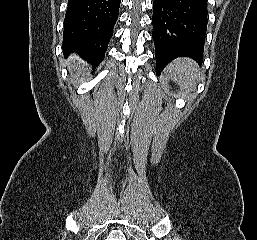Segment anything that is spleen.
I'll return each instance as SVG.
<instances>
[{
  "label": "spleen",
  "instance_id": "obj_1",
  "mask_svg": "<svg viewBox=\"0 0 257 240\" xmlns=\"http://www.w3.org/2000/svg\"><path fill=\"white\" fill-rule=\"evenodd\" d=\"M167 72L182 89L193 91L200 80L197 65L190 59L180 58L167 67Z\"/></svg>",
  "mask_w": 257,
  "mask_h": 240
}]
</instances>
